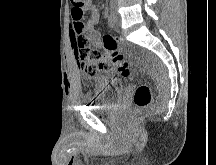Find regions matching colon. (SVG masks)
Masks as SVG:
<instances>
[{"mask_svg":"<svg viewBox=\"0 0 216 165\" xmlns=\"http://www.w3.org/2000/svg\"><path fill=\"white\" fill-rule=\"evenodd\" d=\"M74 8L82 10L92 5L93 0H71ZM78 51V65L81 73L87 78L97 76L102 70L115 68L124 78L131 79L133 72L129 62L118 50L117 39L112 35H105L103 38V51L91 47L90 38L87 35H80L76 39ZM136 112L149 106L151 102V90L146 84H139L133 96Z\"/></svg>","mask_w":216,"mask_h":165,"instance_id":"colon-1","label":"colon"}]
</instances>
